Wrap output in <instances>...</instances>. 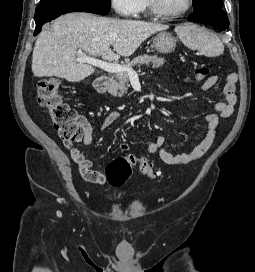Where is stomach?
I'll return each instance as SVG.
<instances>
[{"label": "stomach", "instance_id": "1", "mask_svg": "<svg viewBox=\"0 0 255 272\" xmlns=\"http://www.w3.org/2000/svg\"><path fill=\"white\" fill-rule=\"evenodd\" d=\"M177 39L169 32L162 31L153 38L154 48L162 54H169L175 50Z\"/></svg>", "mask_w": 255, "mask_h": 272}]
</instances>
